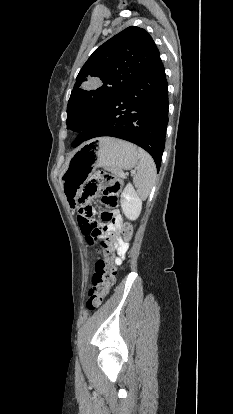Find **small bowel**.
<instances>
[{
    "mask_svg": "<svg viewBox=\"0 0 233 414\" xmlns=\"http://www.w3.org/2000/svg\"><path fill=\"white\" fill-rule=\"evenodd\" d=\"M91 215L93 213L92 209L90 208ZM90 215V217H91ZM104 224L102 225V231L105 233L112 234L116 237V245L120 256L115 259V263L117 265L122 264V254L128 248V245L124 243V241L120 238L121 233L123 232V220L118 213V211H111L107 216H103ZM89 222L97 227L96 222L93 219L89 218ZM98 228V227H97ZM85 235V234H84ZM88 239V238H87Z\"/></svg>",
    "mask_w": 233,
    "mask_h": 414,
    "instance_id": "1",
    "label": "small bowel"
}]
</instances>
